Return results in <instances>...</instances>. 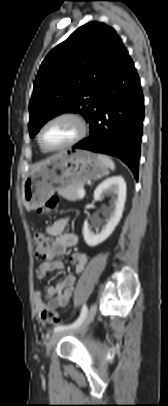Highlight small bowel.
Instances as JSON below:
<instances>
[{"instance_id":"c3829d8e","label":"small bowel","mask_w":168,"mask_h":406,"mask_svg":"<svg viewBox=\"0 0 168 406\" xmlns=\"http://www.w3.org/2000/svg\"><path fill=\"white\" fill-rule=\"evenodd\" d=\"M68 221L69 217H64L46 227V232L54 237V246L48 259L37 267L35 271L37 279L41 280L50 272L62 270L63 264L55 258L65 255L68 248L77 244L78 235L65 232ZM88 258L85 253L76 252L71 255L70 260L74 265L76 274H81L84 271ZM75 285L76 277L66 275L57 285L47 287L45 298L42 297L41 291L37 290L34 294L37 314L41 315L42 311L47 308L54 309L67 306L73 295Z\"/></svg>"}]
</instances>
